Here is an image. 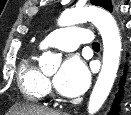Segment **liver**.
Here are the masks:
<instances>
[{
    "instance_id": "1",
    "label": "liver",
    "mask_w": 131,
    "mask_h": 115,
    "mask_svg": "<svg viewBox=\"0 0 131 115\" xmlns=\"http://www.w3.org/2000/svg\"><path fill=\"white\" fill-rule=\"evenodd\" d=\"M10 113L12 115H60L59 112L27 104H17L13 106Z\"/></svg>"
}]
</instances>
